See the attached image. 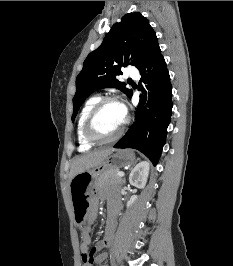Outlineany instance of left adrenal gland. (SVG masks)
Here are the masks:
<instances>
[{"label":"left adrenal gland","mask_w":233,"mask_h":266,"mask_svg":"<svg viewBox=\"0 0 233 266\" xmlns=\"http://www.w3.org/2000/svg\"><path fill=\"white\" fill-rule=\"evenodd\" d=\"M137 160H139V159H137ZM125 181H126L125 178H123L122 183H125Z\"/></svg>","instance_id":"obj_1"}]
</instances>
